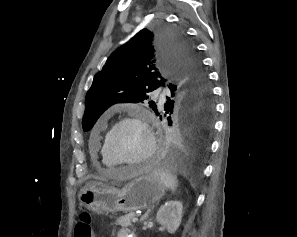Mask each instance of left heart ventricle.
<instances>
[{
	"mask_svg": "<svg viewBox=\"0 0 297 237\" xmlns=\"http://www.w3.org/2000/svg\"><path fill=\"white\" fill-rule=\"evenodd\" d=\"M110 145L119 158L135 160L146 153L148 139L140 125L136 123H126L113 133Z\"/></svg>",
	"mask_w": 297,
	"mask_h": 237,
	"instance_id": "left-heart-ventricle-1",
	"label": "left heart ventricle"
}]
</instances>
